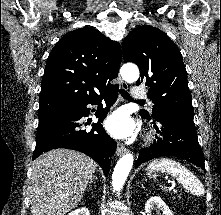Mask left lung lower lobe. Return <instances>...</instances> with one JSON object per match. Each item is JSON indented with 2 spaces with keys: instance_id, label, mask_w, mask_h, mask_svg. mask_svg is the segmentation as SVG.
Masks as SVG:
<instances>
[{
  "instance_id": "obj_1",
  "label": "left lung lower lobe",
  "mask_w": 221,
  "mask_h": 215,
  "mask_svg": "<svg viewBox=\"0 0 221 215\" xmlns=\"http://www.w3.org/2000/svg\"><path fill=\"white\" fill-rule=\"evenodd\" d=\"M153 123L161 126L157 129L161 137L149 148L141 149L135 166L162 156L181 157L205 169L204 156L198 143L193 116L161 114ZM157 138V136H156Z\"/></svg>"
}]
</instances>
